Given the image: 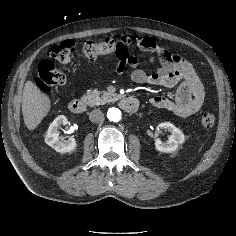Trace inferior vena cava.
I'll list each match as a JSON object with an SVG mask.
<instances>
[{"instance_id":"inferior-vena-cava-1","label":"inferior vena cava","mask_w":236,"mask_h":236,"mask_svg":"<svg viewBox=\"0 0 236 236\" xmlns=\"http://www.w3.org/2000/svg\"><path fill=\"white\" fill-rule=\"evenodd\" d=\"M89 119L93 123H99L104 120V114L102 113V111L95 109L90 112Z\"/></svg>"}]
</instances>
